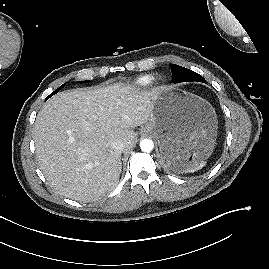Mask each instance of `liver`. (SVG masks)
I'll return each mask as SVG.
<instances>
[{
  "label": "liver",
  "mask_w": 269,
  "mask_h": 269,
  "mask_svg": "<svg viewBox=\"0 0 269 269\" xmlns=\"http://www.w3.org/2000/svg\"><path fill=\"white\" fill-rule=\"evenodd\" d=\"M155 91L116 83L104 88L63 91L38 112L34 141L40 169L59 194L81 202L115 189L121 151L135 144L133 128L149 121Z\"/></svg>",
  "instance_id": "liver-1"
}]
</instances>
